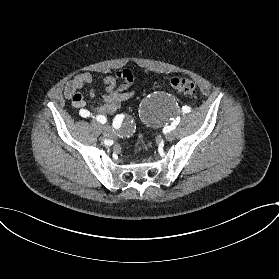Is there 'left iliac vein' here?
<instances>
[{
  "label": "left iliac vein",
  "mask_w": 279,
  "mask_h": 279,
  "mask_svg": "<svg viewBox=\"0 0 279 279\" xmlns=\"http://www.w3.org/2000/svg\"><path fill=\"white\" fill-rule=\"evenodd\" d=\"M166 138L169 140V141H172L174 138H175V134L173 131H170L167 133L166 135Z\"/></svg>",
  "instance_id": "obj_1"
}]
</instances>
